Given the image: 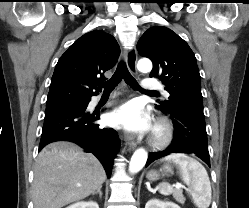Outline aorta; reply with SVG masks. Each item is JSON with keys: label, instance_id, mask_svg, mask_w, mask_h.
I'll return each instance as SVG.
<instances>
[{"label": "aorta", "instance_id": "obj_1", "mask_svg": "<svg viewBox=\"0 0 249 208\" xmlns=\"http://www.w3.org/2000/svg\"><path fill=\"white\" fill-rule=\"evenodd\" d=\"M137 68L141 72H150L152 69V62L149 59H141L138 61ZM148 158L147 152L143 149H137L131 157L129 164V172L135 174L139 172L145 165Z\"/></svg>", "mask_w": 249, "mask_h": 208}]
</instances>
